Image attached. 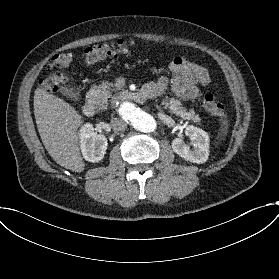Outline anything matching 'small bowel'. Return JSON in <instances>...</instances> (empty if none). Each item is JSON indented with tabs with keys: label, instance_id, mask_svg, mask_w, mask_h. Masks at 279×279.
I'll return each mask as SVG.
<instances>
[{
	"label": "small bowel",
	"instance_id": "1",
	"mask_svg": "<svg viewBox=\"0 0 279 279\" xmlns=\"http://www.w3.org/2000/svg\"><path fill=\"white\" fill-rule=\"evenodd\" d=\"M170 71V78H160L147 85L141 91V95L143 97L159 96L169 86L177 97L192 100L200 94L197 85H205L210 80L209 73L203 66L182 57H177L172 61Z\"/></svg>",
	"mask_w": 279,
	"mask_h": 279
}]
</instances>
